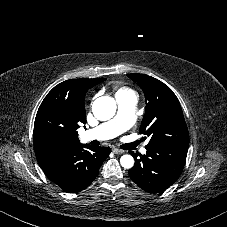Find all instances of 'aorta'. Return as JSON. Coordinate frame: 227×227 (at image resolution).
<instances>
[{
    "instance_id": "aorta-1",
    "label": "aorta",
    "mask_w": 227,
    "mask_h": 227,
    "mask_svg": "<svg viewBox=\"0 0 227 227\" xmlns=\"http://www.w3.org/2000/svg\"><path fill=\"white\" fill-rule=\"evenodd\" d=\"M116 102L109 96H102L97 98L92 105V112L94 116L101 121L111 119L116 113ZM121 166L125 169H130L134 165V158L129 155H123L120 158Z\"/></svg>"
}]
</instances>
